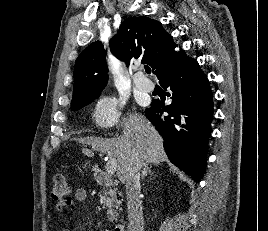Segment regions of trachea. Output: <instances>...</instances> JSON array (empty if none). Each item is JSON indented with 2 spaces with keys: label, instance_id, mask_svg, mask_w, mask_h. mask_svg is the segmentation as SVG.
Segmentation results:
<instances>
[{
  "label": "trachea",
  "instance_id": "trachea-1",
  "mask_svg": "<svg viewBox=\"0 0 268 231\" xmlns=\"http://www.w3.org/2000/svg\"><path fill=\"white\" fill-rule=\"evenodd\" d=\"M145 71L147 74H150L151 73V68L148 67V66H145Z\"/></svg>",
  "mask_w": 268,
  "mask_h": 231
}]
</instances>
